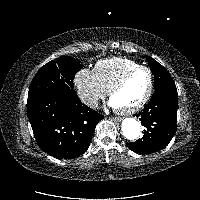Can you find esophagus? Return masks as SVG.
Segmentation results:
<instances>
[{"label": "esophagus", "mask_w": 200, "mask_h": 200, "mask_svg": "<svg viewBox=\"0 0 200 200\" xmlns=\"http://www.w3.org/2000/svg\"><path fill=\"white\" fill-rule=\"evenodd\" d=\"M111 120L114 121V122H120L121 118H119V117H112Z\"/></svg>", "instance_id": "esophagus-1"}]
</instances>
